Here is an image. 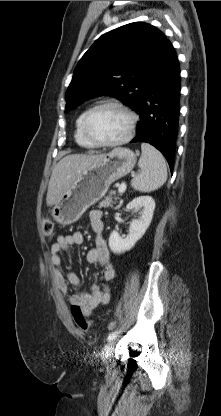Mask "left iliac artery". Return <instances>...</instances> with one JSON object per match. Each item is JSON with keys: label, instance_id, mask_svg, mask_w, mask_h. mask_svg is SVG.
I'll return each instance as SVG.
<instances>
[{"label": "left iliac artery", "instance_id": "left-iliac-artery-1", "mask_svg": "<svg viewBox=\"0 0 221 416\" xmlns=\"http://www.w3.org/2000/svg\"><path fill=\"white\" fill-rule=\"evenodd\" d=\"M117 334H118V331H117V330H116V331L111 332V333L108 335L107 340H108V341H110V340L115 339V337L117 336Z\"/></svg>", "mask_w": 221, "mask_h": 416}]
</instances>
